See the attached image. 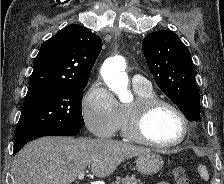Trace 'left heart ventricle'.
Listing matches in <instances>:
<instances>
[{
	"label": "left heart ventricle",
	"mask_w": 224,
	"mask_h": 184,
	"mask_svg": "<svg viewBox=\"0 0 224 184\" xmlns=\"http://www.w3.org/2000/svg\"><path fill=\"white\" fill-rule=\"evenodd\" d=\"M146 133L155 142L170 143L181 136L182 123L171 109L159 107L149 117Z\"/></svg>",
	"instance_id": "obj_1"
}]
</instances>
